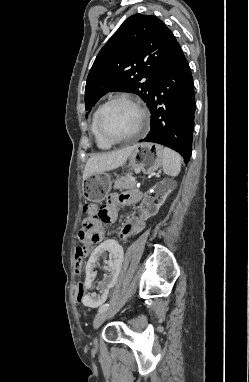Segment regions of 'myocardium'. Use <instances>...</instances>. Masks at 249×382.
<instances>
[{
  "label": "myocardium",
  "mask_w": 249,
  "mask_h": 382,
  "mask_svg": "<svg viewBox=\"0 0 249 382\" xmlns=\"http://www.w3.org/2000/svg\"><path fill=\"white\" fill-rule=\"evenodd\" d=\"M115 102L130 103L139 112V116H140L139 124L136 131L133 134L125 136V137H112L108 135L106 131L104 130L103 124H102L104 111L109 105ZM148 123H149V117L146 110L136 99L128 95H117V96L111 97L99 107L98 113H97V128H98L99 134L104 140H106L107 142L111 144L121 143V142H126V141H131L133 139H136L143 131L146 130V128L148 127Z\"/></svg>",
  "instance_id": "1"
}]
</instances>
